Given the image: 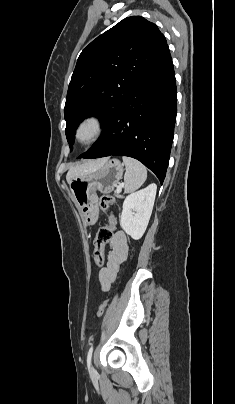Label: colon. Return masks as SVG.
<instances>
[{"instance_id": "5ec220e1", "label": "colon", "mask_w": 235, "mask_h": 404, "mask_svg": "<svg viewBox=\"0 0 235 404\" xmlns=\"http://www.w3.org/2000/svg\"><path fill=\"white\" fill-rule=\"evenodd\" d=\"M114 202H115L114 197L110 195H103L100 197L99 200L100 207L105 212H109V208L111 205L114 204ZM115 228H116V220L113 217V215L109 213L108 224L99 228L94 241V262L97 266H101L104 263L105 247L112 239ZM107 305L108 302L105 301L99 306L97 310L98 317H101L104 314Z\"/></svg>"}]
</instances>
